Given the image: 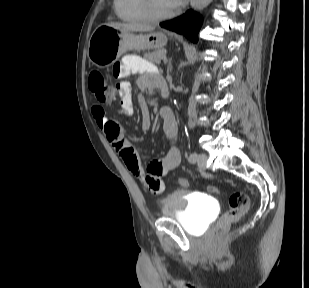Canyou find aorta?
<instances>
[{
  "mask_svg": "<svg viewBox=\"0 0 309 288\" xmlns=\"http://www.w3.org/2000/svg\"><path fill=\"white\" fill-rule=\"evenodd\" d=\"M212 0H190L191 7L194 10H202L211 3Z\"/></svg>",
  "mask_w": 309,
  "mask_h": 288,
  "instance_id": "762f6f07",
  "label": "aorta"
}]
</instances>
